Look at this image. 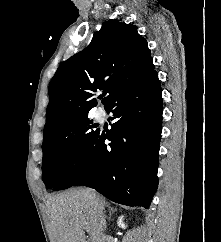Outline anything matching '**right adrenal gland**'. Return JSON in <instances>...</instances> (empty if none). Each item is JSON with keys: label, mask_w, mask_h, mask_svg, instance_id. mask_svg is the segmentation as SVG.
I'll return each mask as SVG.
<instances>
[{"label": "right adrenal gland", "mask_w": 221, "mask_h": 242, "mask_svg": "<svg viewBox=\"0 0 221 242\" xmlns=\"http://www.w3.org/2000/svg\"><path fill=\"white\" fill-rule=\"evenodd\" d=\"M115 211H117L116 208L109 206V218H108L109 220H111V216Z\"/></svg>", "instance_id": "right-adrenal-gland-1"}]
</instances>
